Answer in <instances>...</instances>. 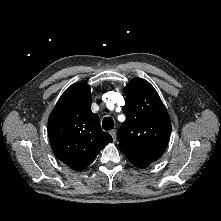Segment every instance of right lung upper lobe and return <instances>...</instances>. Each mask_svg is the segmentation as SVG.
Here are the masks:
<instances>
[{"instance_id": "right-lung-upper-lobe-1", "label": "right lung upper lobe", "mask_w": 221, "mask_h": 221, "mask_svg": "<svg viewBox=\"0 0 221 221\" xmlns=\"http://www.w3.org/2000/svg\"><path fill=\"white\" fill-rule=\"evenodd\" d=\"M87 85L74 83L59 98L48 121V136L56 157L75 171L90 165L98 153L112 142L91 111Z\"/></svg>"}]
</instances>
